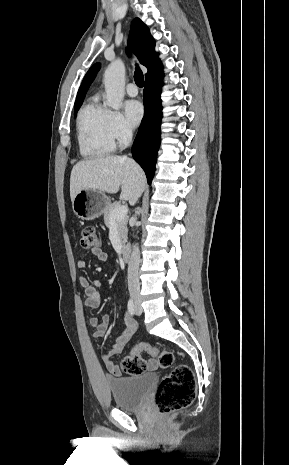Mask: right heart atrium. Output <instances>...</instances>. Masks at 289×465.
<instances>
[{
	"mask_svg": "<svg viewBox=\"0 0 289 465\" xmlns=\"http://www.w3.org/2000/svg\"><path fill=\"white\" fill-rule=\"evenodd\" d=\"M109 128L114 141L118 144H125L132 138V128L120 112H110Z\"/></svg>",
	"mask_w": 289,
	"mask_h": 465,
	"instance_id": "d8ad5b80",
	"label": "right heart atrium"
}]
</instances>
